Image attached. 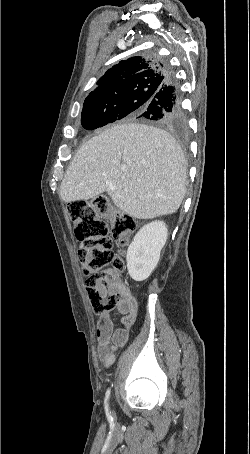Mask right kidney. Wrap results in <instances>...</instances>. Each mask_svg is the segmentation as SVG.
I'll use <instances>...</instances> for the list:
<instances>
[{"mask_svg":"<svg viewBox=\"0 0 250 454\" xmlns=\"http://www.w3.org/2000/svg\"><path fill=\"white\" fill-rule=\"evenodd\" d=\"M167 236L168 229L163 221L146 224L137 232L126 255L128 273L133 280L143 281L150 276Z\"/></svg>","mask_w":250,"mask_h":454,"instance_id":"right-kidney-1","label":"right kidney"}]
</instances>
